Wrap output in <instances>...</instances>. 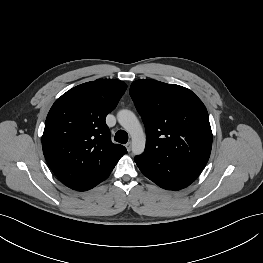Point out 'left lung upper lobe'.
I'll return each instance as SVG.
<instances>
[{
	"instance_id": "5c2ea615",
	"label": "left lung upper lobe",
	"mask_w": 263,
	"mask_h": 263,
	"mask_svg": "<svg viewBox=\"0 0 263 263\" xmlns=\"http://www.w3.org/2000/svg\"><path fill=\"white\" fill-rule=\"evenodd\" d=\"M130 95L146 127L142 155L172 158L202 170L212 147L208 112L189 89L155 80H137Z\"/></svg>"
}]
</instances>
